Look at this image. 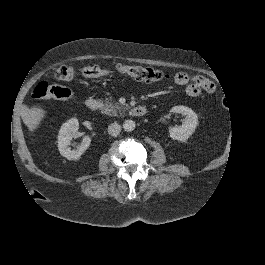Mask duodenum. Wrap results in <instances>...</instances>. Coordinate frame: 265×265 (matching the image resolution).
I'll return each mask as SVG.
<instances>
[{"label":"duodenum","instance_id":"duodenum-1","mask_svg":"<svg viewBox=\"0 0 265 265\" xmlns=\"http://www.w3.org/2000/svg\"><path fill=\"white\" fill-rule=\"evenodd\" d=\"M85 105L91 111H97L100 108L99 101L92 97L86 99ZM146 111L147 109L145 106L138 105V106L133 107L130 110V115L134 117H140V116L145 115Z\"/></svg>","mask_w":265,"mask_h":265}]
</instances>
